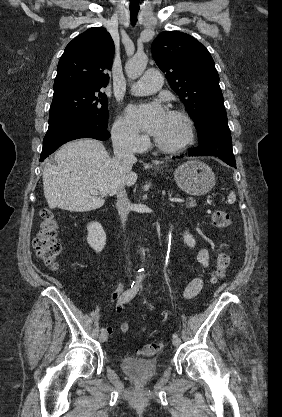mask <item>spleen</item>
I'll return each mask as SVG.
<instances>
[{
	"label": "spleen",
	"mask_w": 282,
	"mask_h": 417,
	"mask_svg": "<svg viewBox=\"0 0 282 417\" xmlns=\"http://www.w3.org/2000/svg\"><path fill=\"white\" fill-rule=\"evenodd\" d=\"M235 200H236V194L232 190V192H230V194L228 196V202H229V204H233V202H235Z\"/></svg>",
	"instance_id": "3e777b00"
}]
</instances>
